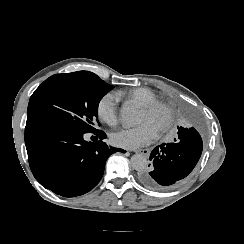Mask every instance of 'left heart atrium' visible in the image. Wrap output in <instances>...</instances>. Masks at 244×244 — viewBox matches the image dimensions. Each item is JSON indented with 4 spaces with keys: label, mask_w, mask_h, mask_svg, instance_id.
Listing matches in <instances>:
<instances>
[{
    "label": "left heart atrium",
    "mask_w": 244,
    "mask_h": 244,
    "mask_svg": "<svg viewBox=\"0 0 244 244\" xmlns=\"http://www.w3.org/2000/svg\"><path fill=\"white\" fill-rule=\"evenodd\" d=\"M158 137V132L148 123H142L131 129H122L111 135L114 145L125 149H138L152 144Z\"/></svg>",
    "instance_id": "left-heart-atrium-1"
}]
</instances>
